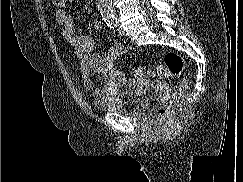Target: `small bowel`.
<instances>
[{
  "mask_svg": "<svg viewBox=\"0 0 243 182\" xmlns=\"http://www.w3.org/2000/svg\"><path fill=\"white\" fill-rule=\"evenodd\" d=\"M57 23L63 29V36L72 46L75 57L79 60L80 72L84 78L87 88L93 87L92 76L103 74V86L93 91L95 97H113L121 90L125 92L137 91L141 84L131 80L126 75L114 67L115 61L124 54L125 47L120 43L112 44L103 53H93L94 42L87 35L75 33L74 18L64 9H58L55 13ZM94 30H100L102 23L95 21Z\"/></svg>",
  "mask_w": 243,
  "mask_h": 182,
  "instance_id": "obj_1",
  "label": "small bowel"
}]
</instances>
